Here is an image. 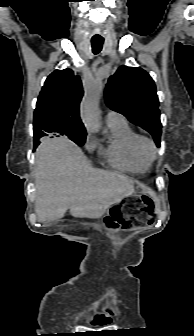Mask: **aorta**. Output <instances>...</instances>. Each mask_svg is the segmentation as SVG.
I'll list each match as a JSON object with an SVG mask.
<instances>
[{
  "label": "aorta",
  "mask_w": 194,
  "mask_h": 336,
  "mask_svg": "<svg viewBox=\"0 0 194 336\" xmlns=\"http://www.w3.org/2000/svg\"><path fill=\"white\" fill-rule=\"evenodd\" d=\"M103 86L99 81H91L85 91L81 102V118L86 128L92 132L101 129V119L99 112V99Z\"/></svg>",
  "instance_id": "762f6f07"
}]
</instances>
